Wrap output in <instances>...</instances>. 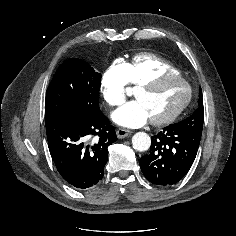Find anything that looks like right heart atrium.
<instances>
[{
    "label": "right heart atrium",
    "mask_w": 236,
    "mask_h": 236,
    "mask_svg": "<svg viewBox=\"0 0 236 236\" xmlns=\"http://www.w3.org/2000/svg\"><path fill=\"white\" fill-rule=\"evenodd\" d=\"M128 66L121 60H115L103 72L100 91L110 106L121 105L126 98Z\"/></svg>",
    "instance_id": "d8ad5b80"
}]
</instances>
